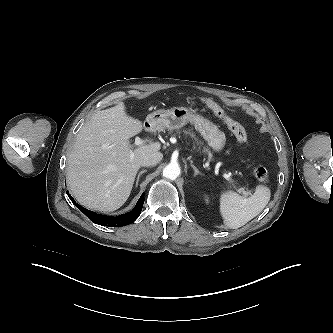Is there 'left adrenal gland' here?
Wrapping results in <instances>:
<instances>
[{"instance_id":"obj_1","label":"left adrenal gland","mask_w":333,"mask_h":333,"mask_svg":"<svg viewBox=\"0 0 333 333\" xmlns=\"http://www.w3.org/2000/svg\"><path fill=\"white\" fill-rule=\"evenodd\" d=\"M191 167L193 168L194 170V176H197V175H201V172L197 169V167L193 164V162L191 161Z\"/></svg>"}]
</instances>
